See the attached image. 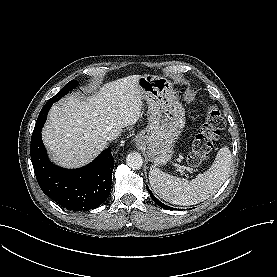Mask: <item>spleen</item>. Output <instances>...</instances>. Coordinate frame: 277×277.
<instances>
[{"mask_svg": "<svg viewBox=\"0 0 277 277\" xmlns=\"http://www.w3.org/2000/svg\"><path fill=\"white\" fill-rule=\"evenodd\" d=\"M232 156L222 147L211 167L196 178L187 180L150 167L149 181L153 191L163 200L176 205H194L213 196L229 176Z\"/></svg>", "mask_w": 277, "mask_h": 277, "instance_id": "3e777b00", "label": "spleen"}]
</instances>
